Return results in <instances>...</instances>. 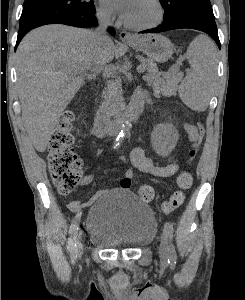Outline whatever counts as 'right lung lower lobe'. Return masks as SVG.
Returning a JSON list of instances; mask_svg holds the SVG:
<instances>
[{"label": "right lung lower lobe", "mask_w": 245, "mask_h": 300, "mask_svg": "<svg viewBox=\"0 0 245 300\" xmlns=\"http://www.w3.org/2000/svg\"><path fill=\"white\" fill-rule=\"evenodd\" d=\"M94 14H92L90 16H87V17L78 18V19H60V20H56V21L50 22L48 24H65V25L75 26V27H92V26H96L97 25L96 17H95ZM30 30H27V31H24V32H19L18 37H17V42H16L15 50H16L18 44L20 43L21 39ZM108 31L112 35L115 34V31H114L113 28H109Z\"/></svg>", "instance_id": "98d812e1"}]
</instances>
